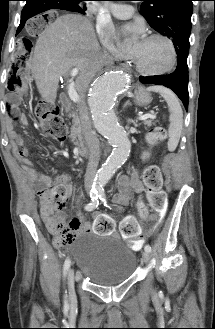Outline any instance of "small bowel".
Here are the masks:
<instances>
[{
    "label": "small bowel",
    "mask_w": 215,
    "mask_h": 329,
    "mask_svg": "<svg viewBox=\"0 0 215 329\" xmlns=\"http://www.w3.org/2000/svg\"><path fill=\"white\" fill-rule=\"evenodd\" d=\"M8 133L12 139L13 152L16 158L24 165L32 179L39 184L40 213L46 226L52 233V227L55 224H63L70 228V239L67 243H72L79 234L91 231L95 232V236H112V232H115V227L118 225L116 220H93L91 226L82 216H78L67 223V216L64 212L56 211L53 207L48 206L44 201V191L49 187L53 178L67 182L69 177L67 175H57L52 178L39 172L29 160V148L23 142L21 135L15 131L12 121L8 122ZM117 184L119 193L114 197L115 202L122 204L121 208L123 210L134 208V211L131 213L132 218H147L149 207L146 206V201H143L145 197L144 186L137 173L133 171L130 174L119 176ZM73 191V186L68 184V197L72 195ZM94 215L96 217L101 216L102 219H111L112 217L111 212H102V214L97 212ZM54 244L56 246L60 245L57 243V237L54 240ZM131 244L134 250H139L144 244V238L138 237L132 240Z\"/></svg>",
    "instance_id": "obj_1"
}]
</instances>
